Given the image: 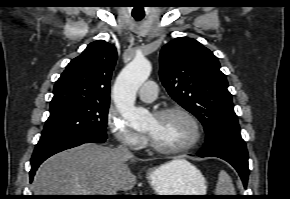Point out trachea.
Instances as JSON below:
<instances>
[{"instance_id": "1", "label": "trachea", "mask_w": 290, "mask_h": 199, "mask_svg": "<svg viewBox=\"0 0 290 199\" xmlns=\"http://www.w3.org/2000/svg\"><path fill=\"white\" fill-rule=\"evenodd\" d=\"M143 17H144V16H134V18H135L137 21L143 19Z\"/></svg>"}]
</instances>
